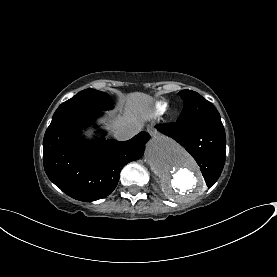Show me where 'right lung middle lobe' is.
Segmentation results:
<instances>
[{
	"label": "right lung middle lobe",
	"instance_id": "1",
	"mask_svg": "<svg viewBox=\"0 0 277 277\" xmlns=\"http://www.w3.org/2000/svg\"><path fill=\"white\" fill-rule=\"evenodd\" d=\"M111 97L95 89H86L62 103L52 117L50 126L80 114L100 113L112 108Z\"/></svg>",
	"mask_w": 277,
	"mask_h": 277
}]
</instances>
